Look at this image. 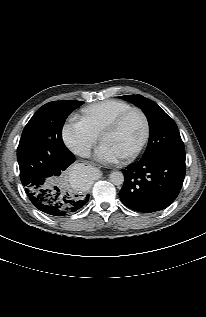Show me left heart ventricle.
Instances as JSON below:
<instances>
[{"mask_svg": "<svg viewBox=\"0 0 206 317\" xmlns=\"http://www.w3.org/2000/svg\"><path fill=\"white\" fill-rule=\"evenodd\" d=\"M144 131L143 120L138 113L131 114L114 132L103 138V143L113 147L122 157L140 143Z\"/></svg>", "mask_w": 206, "mask_h": 317, "instance_id": "left-heart-ventricle-1", "label": "left heart ventricle"}]
</instances>
